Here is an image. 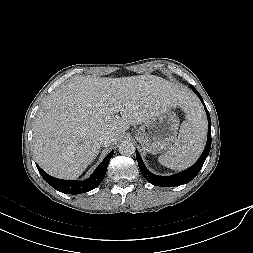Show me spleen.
Listing matches in <instances>:
<instances>
[{
  "instance_id": "obj_1",
  "label": "spleen",
  "mask_w": 253,
  "mask_h": 253,
  "mask_svg": "<svg viewBox=\"0 0 253 253\" xmlns=\"http://www.w3.org/2000/svg\"><path fill=\"white\" fill-rule=\"evenodd\" d=\"M173 146L158 157L161 165L174 170H183L199 158L207 133L206 118L201 109L191 101Z\"/></svg>"
}]
</instances>
